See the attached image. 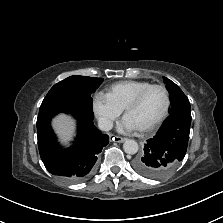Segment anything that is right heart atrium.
I'll use <instances>...</instances> for the list:
<instances>
[{"label": "right heart atrium", "mask_w": 223, "mask_h": 223, "mask_svg": "<svg viewBox=\"0 0 223 223\" xmlns=\"http://www.w3.org/2000/svg\"><path fill=\"white\" fill-rule=\"evenodd\" d=\"M93 110L104 128H109L122 110L103 93H97L93 98Z\"/></svg>", "instance_id": "obj_1"}]
</instances>
